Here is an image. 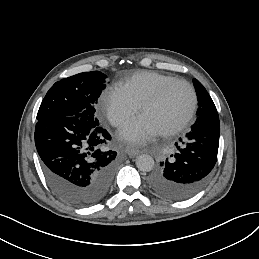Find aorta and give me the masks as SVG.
<instances>
[{
	"mask_svg": "<svg viewBox=\"0 0 259 259\" xmlns=\"http://www.w3.org/2000/svg\"><path fill=\"white\" fill-rule=\"evenodd\" d=\"M136 166L142 172H150L154 167V159L147 154H142L136 159Z\"/></svg>",
	"mask_w": 259,
	"mask_h": 259,
	"instance_id": "obj_1",
	"label": "aorta"
}]
</instances>
